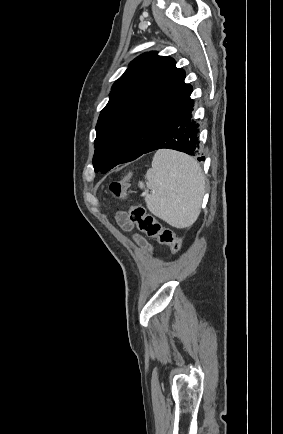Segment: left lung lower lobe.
Instances as JSON below:
<instances>
[{"mask_svg":"<svg viewBox=\"0 0 283 434\" xmlns=\"http://www.w3.org/2000/svg\"><path fill=\"white\" fill-rule=\"evenodd\" d=\"M193 106L194 101L189 96L165 120L143 154L162 148L197 154L199 129L192 120ZM198 160L205 158L198 157Z\"/></svg>","mask_w":283,"mask_h":434,"instance_id":"obj_1","label":"left lung lower lobe"}]
</instances>
